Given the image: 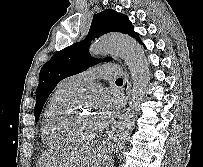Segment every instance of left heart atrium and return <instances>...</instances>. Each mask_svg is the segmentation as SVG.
I'll use <instances>...</instances> for the list:
<instances>
[{
    "label": "left heart atrium",
    "mask_w": 203,
    "mask_h": 167,
    "mask_svg": "<svg viewBox=\"0 0 203 167\" xmlns=\"http://www.w3.org/2000/svg\"><path fill=\"white\" fill-rule=\"evenodd\" d=\"M119 107L117 99L107 93L98 98V111L96 112L101 127H105L115 116Z\"/></svg>",
    "instance_id": "obj_1"
}]
</instances>
